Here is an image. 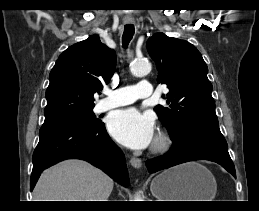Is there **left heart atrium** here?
<instances>
[{
  "label": "left heart atrium",
  "instance_id": "1",
  "mask_svg": "<svg viewBox=\"0 0 259 211\" xmlns=\"http://www.w3.org/2000/svg\"><path fill=\"white\" fill-rule=\"evenodd\" d=\"M107 126L115 140L132 149L146 148L154 140L153 118L135 108L115 111L109 117Z\"/></svg>",
  "mask_w": 259,
  "mask_h": 211
}]
</instances>
